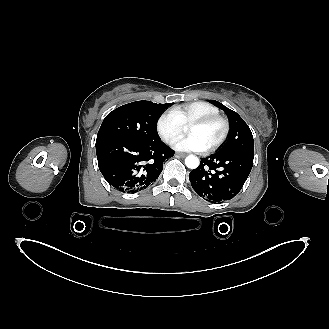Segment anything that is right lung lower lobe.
Listing matches in <instances>:
<instances>
[{
    "label": "right lung lower lobe",
    "instance_id": "1",
    "mask_svg": "<svg viewBox=\"0 0 329 329\" xmlns=\"http://www.w3.org/2000/svg\"><path fill=\"white\" fill-rule=\"evenodd\" d=\"M96 154L99 169L110 185L120 192L136 193L156 181L164 161L174 152L161 140L101 136L96 140Z\"/></svg>",
    "mask_w": 329,
    "mask_h": 329
}]
</instances>
